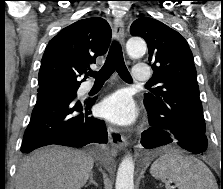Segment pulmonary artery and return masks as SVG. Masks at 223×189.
I'll list each match as a JSON object with an SVG mask.
<instances>
[{
    "label": "pulmonary artery",
    "instance_id": "obj_1",
    "mask_svg": "<svg viewBox=\"0 0 223 189\" xmlns=\"http://www.w3.org/2000/svg\"><path fill=\"white\" fill-rule=\"evenodd\" d=\"M150 78V70L146 64H136L132 70V80L135 82H146ZM92 84L87 85V89L91 88Z\"/></svg>",
    "mask_w": 223,
    "mask_h": 189
}]
</instances>
